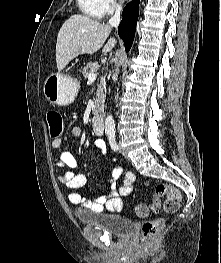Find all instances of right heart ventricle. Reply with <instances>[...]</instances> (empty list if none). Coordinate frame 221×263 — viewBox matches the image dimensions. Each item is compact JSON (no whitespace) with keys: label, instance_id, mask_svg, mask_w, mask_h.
I'll use <instances>...</instances> for the list:
<instances>
[{"label":"right heart ventricle","instance_id":"obj_1","mask_svg":"<svg viewBox=\"0 0 221 263\" xmlns=\"http://www.w3.org/2000/svg\"><path fill=\"white\" fill-rule=\"evenodd\" d=\"M78 6L83 14L100 19L103 16V11L99 0H77Z\"/></svg>","mask_w":221,"mask_h":263}]
</instances>
